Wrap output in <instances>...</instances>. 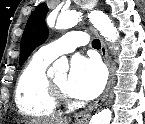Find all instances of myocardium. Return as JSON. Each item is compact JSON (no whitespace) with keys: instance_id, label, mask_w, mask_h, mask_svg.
<instances>
[{"instance_id":"obj_1","label":"myocardium","mask_w":145,"mask_h":124,"mask_svg":"<svg viewBox=\"0 0 145 124\" xmlns=\"http://www.w3.org/2000/svg\"><path fill=\"white\" fill-rule=\"evenodd\" d=\"M47 85L49 88L51 98L58 104H69L70 98L66 91L60 89L55 82L47 77Z\"/></svg>"}]
</instances>
